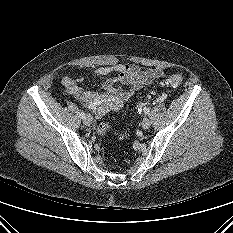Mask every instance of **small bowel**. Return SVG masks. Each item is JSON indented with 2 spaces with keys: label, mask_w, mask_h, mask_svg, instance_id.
I'll use <instances>...</instances> for the list:
<instances>
[{
  "label": "small bowel",
  "mask_w": 233,
  "mask_h": 233,
  "mask_svg": "<svg viewBox=\"0 0 233 233\" xmlns=\"http://www.w3.org/2000/svg\"><path fill=\"white\" fill-rule=\"evenodd\" d=\"M110 74H115V76L109 77L103 82L102 93L82 87L81 83L84 80L82 77L77 79L65 77L63 84L75 99L100 117L106 112L120 110L136 91L163 77L165 72L162 68H150L142 71L135 65L124 63L103 66L92 71V75L95 76ZM123 86H126L127 89H124Z\"/></svg>",
  "instance_id": "1"
}]
</instances>
